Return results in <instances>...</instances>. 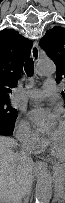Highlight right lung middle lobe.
<instances>
[{"label":"right lung middle lobe","mask_w":65,"mask_h":203,"mask_svg":"<svg viewBox=\"0 0 65 203\" xmlns=\"http://www.w3.org/2000/svg\"><path fill=\"white\" fill-rule=\"evenodd\" d=\"M10 100L0 99V125L13 128L17 119V110L12 108Z\"/></svg>","instance_id":"1"}]
</instances>
